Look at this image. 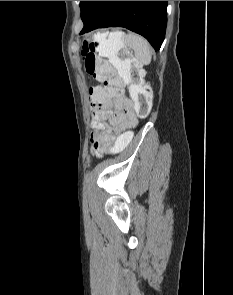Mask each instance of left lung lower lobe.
I'll use <instances>...</instances> for the list:
<instances>
[{
	"label": "left lung lower lobe",
	"mask_w": 233,
	"mask_h": 295,
	"mask_svg": "<svg viewBox=\"0 0 233 295\" xmlns=\"http://www.w3.org/2000/svg\"><path fill=\"white\" fill-rule=\"evenodd\" d=\"M166 25L167 1H96L80 34L96 28L124 27L144 36L158 50Z\"/></svg>",
	"instance_id": "1"
}]
</instances>
